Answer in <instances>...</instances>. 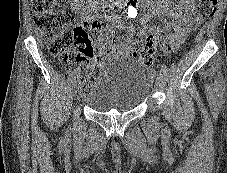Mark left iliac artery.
Listing matches in <instances>:
<instances>
[{
  "mask_svg": "<svg viewBox=\"0 0 227 173\" xmlns=\"http://www.w3.org/2000/svg\"><path fill=\"white\" fill-rule=\"evenodd\" d=\"M148 72L153 78L156 77V70L154 68H149Z\"/></svg>",
  "mask_w": 227,
  "mask_h": 173,
  "instance_id": "44dca946",
  "label": "left iliac artery"
}]
</instances>
